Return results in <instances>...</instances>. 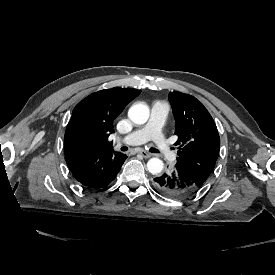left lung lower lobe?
<instances>
[{
  "label": "left lung lower lobe",
  "instance_id": "0a47b994",
  "mask_svg": "<svg viewBox=\"0 0 275 275\" xmlns=\"http://www.w3.org/2000/svg\"><path fill=\"white\" fill-rule=\"evenodd\" d=\"M154 188L164 196L180 199L196 193L199 187L177 166L153 180Z\"/></svg>",
  "mask_w": 275,
  "mask_h": 275
}]
</instances>
